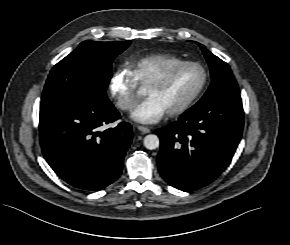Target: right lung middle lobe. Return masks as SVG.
Wrapping results in <instances>:
<instances>
[{
    "mask_svg": "<svg viewBox=\"0 0 290 245\" xmlns=\"http://www.w3.org/2000/svg\"><path fill=\"white\" fill-rule=\"evenodd\" d=\"M130 43L82 42L50 71L40 110L62 108L90 100L110 102L106 88L112 77L111 64Z\"/></svg>",
    "mask_w": 290,
    "mask_h": 245,
    "instance_id": "obj_1",
    "label": "right lung middle lobe"
}]
</instances>
